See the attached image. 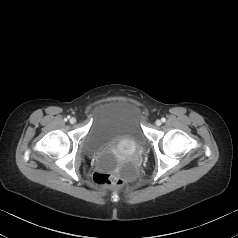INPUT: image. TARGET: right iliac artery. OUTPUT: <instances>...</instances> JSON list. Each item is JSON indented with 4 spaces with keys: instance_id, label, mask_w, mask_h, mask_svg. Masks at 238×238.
<instances>
[{
    "instance_id": "right-iliac-artery-1",
    "label": "right iliac artery",
    "mask_w": 238,
    "mask_h": 238,
    "mask_svg": "<svg viewBox=\"0 0 238 238\" xmlns=\"http://www.w3.org/2000/svg\"><path fill=\"white\" fill-rule=\"evenodd\" d=\"M70 118V116H67V119H69Z\"/></svg>"
}]
</instances>
